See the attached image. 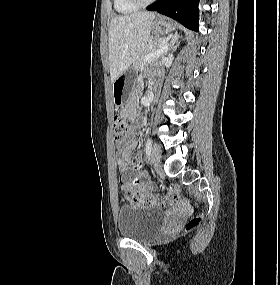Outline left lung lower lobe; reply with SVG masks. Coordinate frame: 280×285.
Listing matches in <instances>:
<instances>
[{
  "label": "left lung lower lobe",
  "instance_id": "left-lung-lower-lobe-1",
  "mask_svg": "<svg viewBox=\"0 0 280 285\" xmlns=\"http://www.w3.org/2000/svg\"><path fill=\"white\" fill-rule=\"evenodd\" d=\"M198 1L199 0H158L147 9L171 17L185 27L198 31Z\"/></svg>",
  "mask_w": 280,
  "mask_h": 285
}]
</instances>
